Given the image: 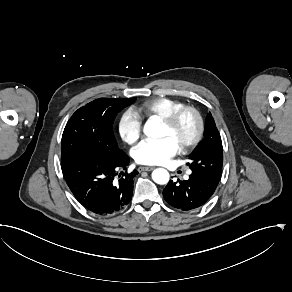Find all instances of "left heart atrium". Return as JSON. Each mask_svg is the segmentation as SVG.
Returning a JSON list of instances; mask_svg holds the SVG:
<instances>
[{
  "mask_svg": "<svg viewBox=\"0 0 292 292\" xmlns=\"http://www.w3.org/2000/svg\"><path fill=\"white\" fill-rule=\"evenodd\" d=\"M180 152L179 143L171 136L158 140H144L135 149L138 163L158 165L167 162Z\"/></svg>",
  "mask_w": 292,
  "mask_h": 292,
  "instance_id": "left-heart-atrium-1",
  "label": "left heart atrium"
}]
</instances>
